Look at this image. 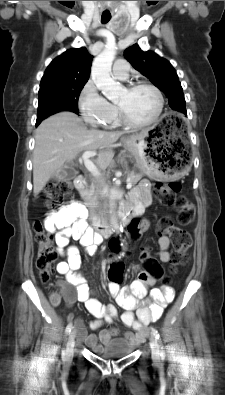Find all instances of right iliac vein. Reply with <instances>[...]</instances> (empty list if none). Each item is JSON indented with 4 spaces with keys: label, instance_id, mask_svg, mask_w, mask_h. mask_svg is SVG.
<instances>
[{
    "label": "right iliac vein",
    "instance_id": "1",
    "mask_svg": "<svg viewBox=\"0 0 225 395\" xmlns=\"http://www.w3.org/2000/svg\"><path fill=\"white\" fill-rule=\"evenodd\" d=\"M75 336H76V332L73 330L68 337L66 351H65V359L67 362L71 361L74 355Z\"/></svg>",
    "mask_w": 225,
    "mask_h": 395
}]
</instances>
